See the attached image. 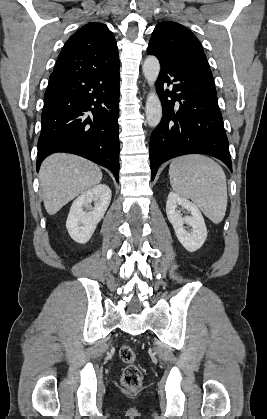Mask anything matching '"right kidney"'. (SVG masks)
<instances>
[{"instance_id":"1","label":"right kidney","mask_w":267,"mask_h":419,"mask_svg":"<svg viewBox=\"0 0 267 419\" xmlns=\"http://www.w3.org/2000/svg\"><path fill=\"white\" fill-rule=\"evenodd\" d=\"M111 196V189L106 184H99L76 198L66 221L68 233L75 242L85 244L90 240L97 224L104 217ZM84 208L89 211H85Z\"/></svg>"}]
</instances>
